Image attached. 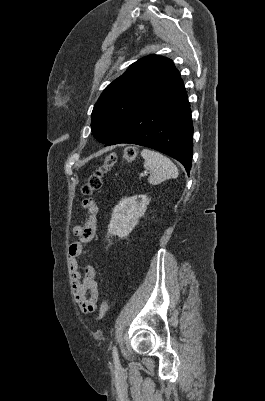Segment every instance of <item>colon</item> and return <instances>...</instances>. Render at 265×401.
Returning a JSON list of instances; mask_svg holds the SVG:
<instances>
[{
  "label": "colon",
  "instance_id": "1",
  "mask_svg": "<svg viewBox=\"0 0 265 401\" xmlns=\"http://www.w3.org/2000/svg\"><path fill=\"white\" fill-rule=\"evenodd\" d=\"M137 155V149L135 147H126L123 151V157L126 161H132L135 159ZM116 162V156L114 154H110L105 157L102 165L94 171L85 184L82 187V192L86 195H90L95 191H98L102 185L104 176L114 167ZM108 310V301L105 298L101 304L99 311V318L102 320Z\"/></svg>",
  "mask_w": 265,
  "mask_h": 401
}]
</instances>
